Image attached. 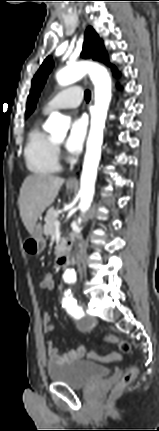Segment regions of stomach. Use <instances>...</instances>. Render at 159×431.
Masks as SVG:
<instances>
[{"label": "stomach", "mask_w": 159, "mask_h": 431, "mask_svg": "<svg viewBox=\"0 0 159 431\" xmlns=\"http://www.w3.org/2000/svg\"><path fill=\"white\" fill-rule=\"evenodd\" d=\"M73 189V186H68ZM46 246V241L43 237V228L41 223H36L31 236L24 242V250L31 255L40 254Z\"/></svg>", "instance_id": "stomach-1"}]
</instances>
